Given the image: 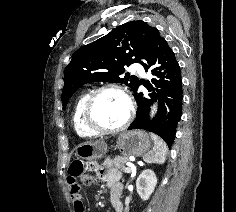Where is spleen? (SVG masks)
<instances>
[{
    "label": "spleen",
    "instance_id": "obj_1",
    "mask_svg": "<svg viewBox=\"0 0 236 212\" xmlns=\"http://www.w3.org/2000/svg\"><path fill=\"white\" fill-rule=\"evenodd\" d=\"M151 138L154 142V146L151 151L143 156V160L149 164H163L166 160L168 147L156 134L152 133Z\"/></svg>",
    "mask_w": 236,
    "mask_h": 212
}]
</instances>
